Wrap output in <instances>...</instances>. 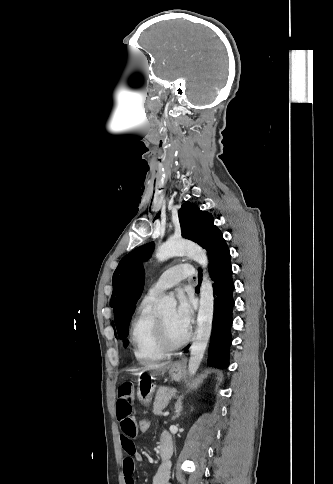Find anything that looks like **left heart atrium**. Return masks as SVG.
<instances>
[{"mask_svg":"<svg viewBox=\"0 0 333 484\" xmlns=\"http://www.w3.org/2000/svg\"><path fill=\"white\" fill-rule=\"evenodd\" d=\"M174 319L183 331L186 333L189 331L193 319V303L183 293L178 294V303L174 311Z\"/></svg>","mask_w":333,"mask_h":484,"instance_id":"39dd6f15","label":"left heart atrium"}]
</instances>
